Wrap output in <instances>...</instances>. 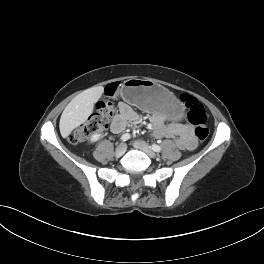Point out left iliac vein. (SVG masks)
<instances>
[{"instance_id":"1","label":"left iliac vein","mask_w":264,"mask_h":264,"mask_svg":"<svg viewBox=\"0 0 264 264\" xmlns=\"http://www.w3.org/2000/svg\"><path fill=\"white\" fill-rule=\"evenodd\" d=\"M133 146L136 149H139V150L145 152L151 158H155L156 157V154L154 153V151H152L150 146L147 143L143 142V141H134L133 142Z\"/></svg>"}]
</instances>
